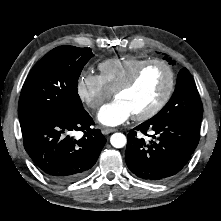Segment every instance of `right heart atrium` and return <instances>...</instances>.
Returning <instances> with one entry per match:
<instances>
[{
  "mask_svg": "<svg viewBox=\"0 0 221 221\" xmlns=\"http://www.w3.org/2000/svg\"><path fill=\"white\" fill-rule=\"evenodd\" d=\"M76 92L80 100L89 108L96 110L112 96L100 75L89 72L82 73L76 82Z\"/></svg>",
  "mask_w": 221,
  "mask_h": 221,
  "instance_id": "d8ad5b80",
  "label": "right heart atrium"
}]
</instances>
